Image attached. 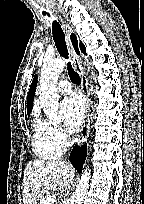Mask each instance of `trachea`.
Returning a JSON list of instances; mask_svg holds the SVG:
<instances>
[{"mask_svg":"<svg viewBox=\"0 0 144 204\" xmlns=\"http://www.w3.org/2000/svg\"><path fill=\"white\" fill-rule=\"evenodd\" d=\"M52 35H53V40L55 42V45H56V48L59 54L65 59H68L69 53H68L67 45L65 42V35H64V32L59 22L55 20L52 23ZM67 70H68V74L70 76L71 81L75 84H80L81 78L79 74L73 69L71 62L67 63Z\"/></svg>","mask_w":144,"mask_h":204,"instance_id":"trachea-1","label":"trachea"}]
</instances>
